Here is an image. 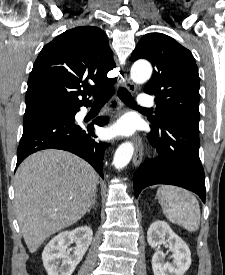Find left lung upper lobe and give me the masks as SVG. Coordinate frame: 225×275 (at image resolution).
I'll list each match as a JSON object with an SVG mask.
<instances>
[{
	"instance_id": "left-lung-upper-lobe-1",
	"label": "left lung upper lobe",
	"mask_w": 225,
	"mask_h": 275,
	"mask_svg": "<svg viewBox=\"0 0 225 275\" xmlns=\"http://www.w3.org/2000/svg\"><path fill=\"white\" fill-rule=\"evenodd\" d=\"M141 58L154 67L144 87L145 93L155 96V116L148 118L152 127L171 121L199 129L200 80L192 53L167 35L149 33L131 54L132 61Z\"/></svg>"
}]
</instances>
